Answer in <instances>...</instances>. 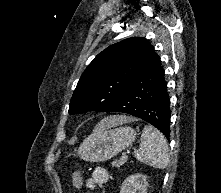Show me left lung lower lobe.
<instances>
[{
    "instance_id": "0a47b994",
    "label": "left lung lower lobe",
    "mask_w": 221,
    "mask_h": 193,
    "mask_svg": "<svg viewBox=\"0 0 221 193\" xmlns=\"http://www.w3.org/2000/svg\"><path fill=\"white\" fill-rule=\"evenodd\" d=\"M160 60L137 77L124 95L106 112H122L141 118L169 140L170 99Z\"/></svg>"
}]
</instances>
